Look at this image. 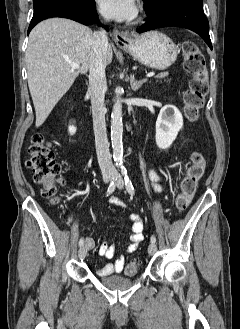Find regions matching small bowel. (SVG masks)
Segmentation results:
<instances>
[{"label": "small bowel", "instance_id": "obj_1", "mask_svg": "<svg viewBox=\"0 0 240 329\" xmlns=\"http://www.w3.org/2000/svg\"><path fill=\"white\" fill-rule=\"evenodd\" d=\"M149 176L154 183L155 189L157 191H161L163 188L160 183V177L154 171H150ZM110 203L114 206H125V203L117 197H111ZM127 219L131 223L132 233L129 237V244L126 247V252L132 253L144 240V223L141 217L135 212H131L127 216ZM85 247L89 250L94 249L95 241L91 237H86ZM98 253L102 257L112 259L115 256V246L108 243H103L98 247ZM124 266L125 258L123 256H120L114 262L108 263L105 266L99 268L97 270V273L99 276H108L114 273H120L123 270Z\"/></svg>", "mask_w": 240, "mask_h": 329}]
</instances>
